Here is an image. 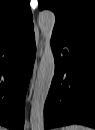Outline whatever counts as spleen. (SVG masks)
Listing matches in <instances>:
<instances>
[{
  "label": "spleen",
  "instance_id": "obj_1",
  "mask_svg": "<svg viewBox=\"0 0 95 130\" xmlns=\"http://www.w3.org/2000/svg\"><path fill=\"white\" fill-rule=\"evenodd\" d=\"M61 130H90L86 126H81V125H70V126H65Z\"/></svg>",
  "mask_w": 95,
  "mask_h": 130
}]
</instances>
